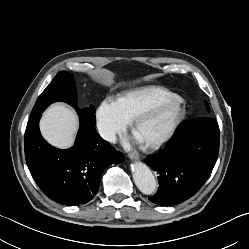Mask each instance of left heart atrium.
<instances>
[{"mask_svg":"<svg viewBox=\"0 0 249 249\" xmlns=\"http://www.w3.org/2000/svg\"><path fill=\"white\" fill-rule=\"evenodd\" d=\"M134 139H135V141L137 142V143H142L143 142V140L136 134V136L134 137Z\"/></svg>","mask_w":249,"mask_h":249,"instance_id":"obj_1","label":"left heart atrium"}]
</instances>
